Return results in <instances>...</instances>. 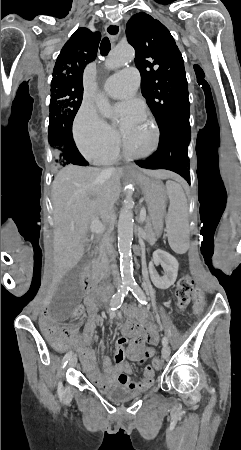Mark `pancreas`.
Returning <instances> with one entry per match:
<instances>
[{
	"label": "pancreas",
	"mask_w": 241,
	"mask_h": 450,
	"mask_svg": "<svg viewBox=\"0 0 241 450\" xmlns=\"http://www.w3.org/2000/svg\"><path fill=\"white\" fill-rule=\"evenodd\" d=\"M145 224L146 226H148L149 224V220L147 218V220H145ZM145 232H148V237L146 238V241L150 244L155 242V237L153 236V232H150V227H145ZM99 260V278L97 280L96 278V270L95 268H93V272H92V280H94V282H102L103 280V284L104 282H106L107 278H108V262H107V258L105 256V254H103L102 250L100 252V256L98 258Z\"/></svg>",
	"instance_id": "1"
}]
</instances>
